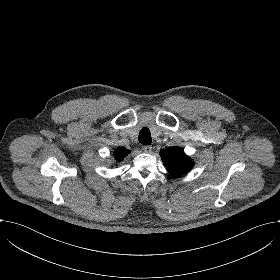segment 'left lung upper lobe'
Wrapping results in <instances>:
<instances>
[{"instance_id":"obj_1","label":"left lung upper lobe","mask_w":280,"mask_h":280,"mask_svg":"<svg viewBox=\"0 0 280 280\" xmlns=\"http://www.w3.org/2000/svg\"><path fill=\"white\" fill-rule=\"evenodd\" d=\"M160 155L168 172L174 177L187 173L194 165L193 161L186 156L184 150L180 147L163 149Z\"/></svg>"}]
</instances>
